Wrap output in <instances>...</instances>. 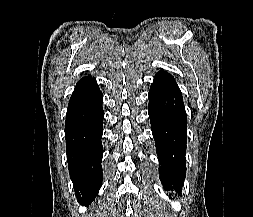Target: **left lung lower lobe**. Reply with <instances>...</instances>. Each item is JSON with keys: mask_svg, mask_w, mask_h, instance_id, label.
<instances>
[{"mask_svg": "<svg viewBox=\"0 0 253 217\" xmlns=\"http://www.w3.org/2000/svg\"><path fill=\"white\" fill-rule=\"evenodd\" d=\"M149 117L161 164L160 180L165 189L181 192L186 175L187 117L175 79L163 70L155 75L150 87Z\"/></svg>", "mask_w": 253, "mask_h": 217, "instance_id": "1", "label": "left lung lower lobe"}]
</instances>
